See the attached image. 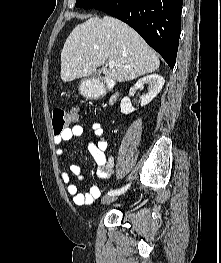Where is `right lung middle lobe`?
Returning <instances> with one entry per match:
<instances>
[{"instance_id":"1","label":"right lung middle lobe","mask_w":221,"mask_h":263,"mask_svg":"<svg viewBox=\"0 0 221 263\" xmlns=\"http://www.w3.org/2000/svg\"><path fill=\"white\" fill-rule=\"evenodd\" d=\"M103 0H76V7L84 9L95 8Z\"/></svg>"}]
</instances>
